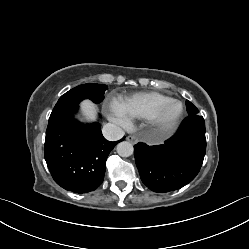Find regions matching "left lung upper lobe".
Segmentation results:
<instances>
[{
    "label": "left lung upper lobe",
    "mask_w": 249,
    "mask_h": 249,
    "mask_svg": "<svg viewBox=\"0 0 249 249\" xmlns=\"http://www.w3.org/2000/svg\"><path fill=\"white\" fill-rule=\"evenodd\" d=\"M186 108L189 115L198 114V109L188 100L186 101Z\"/></svg>",
    "instance_id": "obj_1"
}]
</instances>
